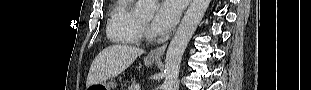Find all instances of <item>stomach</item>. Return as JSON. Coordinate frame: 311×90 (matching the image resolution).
I'll use <instances>...</instances> for the list:
<instances>
[{"label": "stomach", "mask_w": 311, "mask_h": 90, "mask_svg": "<svg viewBox=\"0 0 311 90\" xmlns=\"http://www.w3.org/2000/svg\"><path fill=\"white\" fill-rule=\"evenodd\" d=\"M156 61L157 59L148 58V57L144 59V63L146 66L152 65ZM114 88H116V83L111 80L109 82L105 81L102 83L93 84L90 87H88V90H115Z\"/></svg>", "instance_id": "obj_1"}]
</instances>
